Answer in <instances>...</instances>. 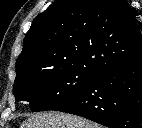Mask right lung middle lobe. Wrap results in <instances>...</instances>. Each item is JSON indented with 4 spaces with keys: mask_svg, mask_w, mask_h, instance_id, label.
<instances>
[{
    "mask_svg": "<svg viewBox=\"0 0 142 128\" xmlns=\"http://www.w3.org/2000/svg\"><path fill=\"white\" fill-rule=\"evenodd\" d=\"M95 74L83 66L45 69L15 79L16 101H28L33 112L56 110L82 93Z\"/></svg>",
    "mask_w": 142,
    "mask_h": 128,
    "instance_id": "right-lung-middle-lobe-1",
    "label": "right lung middle lobe"
}]
</instances>
